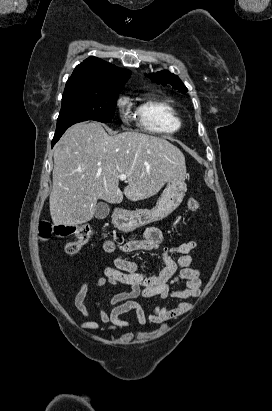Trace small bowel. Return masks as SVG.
Returning <instances> with one entry per match:
<instances>
[{
    "label": "small bowel",
    "instance_id": "1",
    "mask_svg": "<svg viewBox=\"0 0 272 411\" xmlns=\"http://www.w3.org/2000/svg\"><path fill=\"white\" fill-rule=\"evenodd\" d=\"M163 235L159 228L148 227L144 230L140 239L127 240L117 243L107 240L103 244L105 252L114 254H129L138 251L160 252V262L152 271L146 272L140 269L138 263L117 256L114 259V267L105 269L104 274L93 282H84L74 298L75 308L84 316H89L85 300L91 287H103L107 284L112 287L126 285L127 291L113 294L109 300L112 306L107 311L99 300L95 299V306L102 323L108 324V331H116L130 327L129 321L122 318L123 315L134 312L139 325L148 323L163 324L176 319L184 313L192 310L193 300L201 293V272L193 267L191 252L198 246L196 241H188L173 246H162ZM71 282L69 287H72ZM179 285V288L174 287ZM153 298L159 300L175 299L172 305L157 303L151 312L146 313L136 301L137 298ZM80 327L88 330H98L97 321H85Z\"/></svg>",
    "mask_w": 272,
    "mask_h": 411
}]
</instances>
